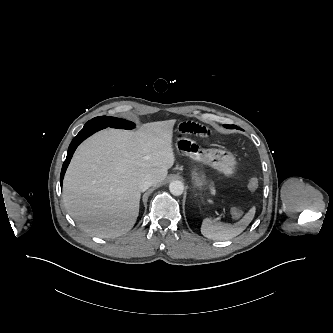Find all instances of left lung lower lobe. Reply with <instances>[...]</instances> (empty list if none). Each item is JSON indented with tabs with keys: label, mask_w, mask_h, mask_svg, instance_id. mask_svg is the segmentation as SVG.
I'll list each match as a JSON object with an SVG mask.
<instances>
[{
	"label": "left lung lower lobe",
	"mask_w": 333,
	"mask_h": 333,
	"mask_svg": "<svg viewBox=\"0 0 333 333\" xmlns=\"http://www.w3.org/2000/svg\"><path fill=\"white\" fill-rule=\"evenodd\" d=\"M226 127H228V128H236L235 126H229V125H226Z\"/></svg>",
	"instance_id": "obj_1"
}]
</instances>
